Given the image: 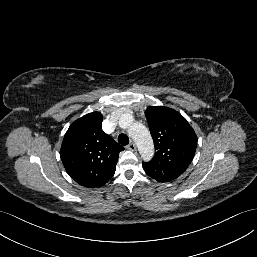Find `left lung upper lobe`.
I'll list each match as a JSON object with an SVG mask.
<instances>
[{
	"label": "left lung upper lobe",
	"mask_w": 257,
	"mask_h": 257,
	"mask_svg": "<svg viewBox=\"0 0 257 257\" xmlns=\"http://www.w3.org/2000/svg\"><path fill=\"white\" fill-rule=\"evenodd\" d=\"M156 153L143 162L145 172L160 182L178 178L191 163L197 146V136L187 120L177 111L163 107H148L145 111Z\"/></svg>",
	"instance_id": "obj_1"
}]
</instances>
